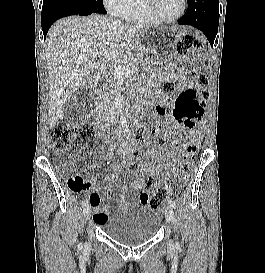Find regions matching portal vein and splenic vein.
Masks as SVG:
<instances>
[{
  "mask_svg": "<svg viewBox=\"0 0 265 273\" xmlns=\"http://www.w3.org/2000/svg\"><path fill=\"white\" fill-rule=\"evenodd\" d=\"M96 57H100V54L97 53ZM132 72V70L130 68L125 69L124 67H122L121 65H115L114 66V74L119 77L122 78L128 74H130Z\"/></svg>",
  "mask_w": 265,
  "mask_h": 273,
  "instance_id": "18ae733b",
  "label": "portal vein and splenic vein"
}]
</instances>
